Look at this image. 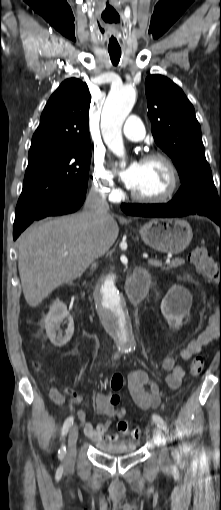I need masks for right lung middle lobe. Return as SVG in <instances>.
<instances>
[{
    "label": "right lung middle lobe",
    "mask_w": 221,
    "mask_h": 510,
    "mask_svg": "<svg viewBox=\"0 0 221 510\" xmlns=\"http://www.w3.org/2000/svg\"><path fill=\"white\" fill-rule=\"evenodd\" d=\"M91 146L29 156L16 215L30 217L88 186Z\"/></svg>",
    "instance_id": "1"
}]
</instances>
